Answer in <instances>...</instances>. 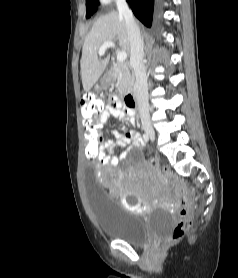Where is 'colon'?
I'll list each match as a JSON object with an SVG mask.
<instances>
[{"label": "colon", "instance_id": "obj_1", "mask_svg": "<svg viewBox=\"0 0 238 278\" xmlns=\"http://www.w3.org/2000/svg\"><path fill=\"white\" fill-rule=\"evenodd\" d=\"M104 108V99L96 96L93 93H86L81 97V114L80 123L86 127V137L81 142L83 159H98L101 156V149L104 146L103 141V123L97 122ZM96 123L94 124V122ZM95 125V127H94ZM166 177L171 178L173 188H177L180 200L177 204L176 213L177 220L173 228L167 235L169 241L175 242L180 240L191 225V213L187 199L189 196L190 186L184 183V177H177L176 174H171L168 169H164Z\"/></svg>", "mask_w": 238, "mask_h": 278}]
</instances>
